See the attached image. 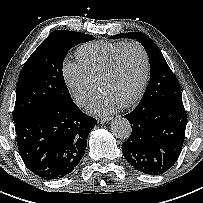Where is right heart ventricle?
<instances>
[{
  "instance_id": "e07e8e85",
  "label": "right heart ventricle",
  "mask_w": 203,
  "mask_h": 203,
  "mask_svg": "<svg viewBox=\"0 0 203 203\" xmlns=\"http://www.w3.org/2000/svg\"><path fill=\"white\" fill-rule=\"evenodd\" d=\"M124 41H97L79 47L76 57L85 70L96 80L109 62L115 51Z\"/></svg>"
}]
</instances>
